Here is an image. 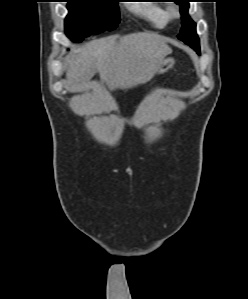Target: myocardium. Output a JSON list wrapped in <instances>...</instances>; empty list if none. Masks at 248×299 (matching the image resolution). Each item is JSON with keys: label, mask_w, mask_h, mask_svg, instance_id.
<instances>
[{"label": "myocardium", "mask_w": 248, "mask_h": 299, "mask_svg": "<svg viewBox=\"0 0 248 299\" xmlns=\"http://www.w3.org/2000/svg\"><path fill=\"white\" fill-rule=\"evenodd\" d=\"M169 18H177L179 16V9L176 5H170L167 9Z\"/></svg>", "instance_id": "1"}]
</instances>
